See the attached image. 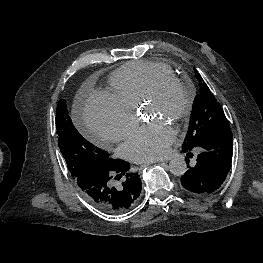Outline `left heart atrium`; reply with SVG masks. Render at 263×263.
Returning <instances> with one entry per match:
<instances>
[{"instance_id":"obj_1","label":"left heart atrium","mask_w":263,"mask_h":263,"mask_svg":"<svg viewBox=\"0 0 263 263\" xmlns=\"http://www.w3.org/2000/svg\"><path fill=\"white\" fill-rule=\"evenodd\" d=\"M175 137L174 129L162 118L135 129L121 146L122 155L136 163H146L164 157Z\"/></svg>"}]
</instances>
